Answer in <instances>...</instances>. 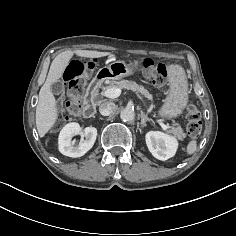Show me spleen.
Masks as SVG:
<instances>
[{
  "label": "spleen",
  "instance_id": "spleen-1",
  "mask_svg": "<svg viewBox=\"0 0 236 236\" xmlns=\"http://www.w3.org/2000/svg\"><path fill=\"white\" fill-rule=\"evenodd\" d=\"M196 149H197V142L195 140H191L187 145L186 152L188 155H192L195 153Z\"/></svg>",
  "mask_w": 236,
  "mask_h": 236
}]
</instances>
